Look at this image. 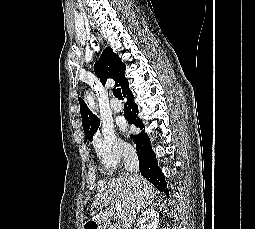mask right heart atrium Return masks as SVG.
I'll use <instances>...</instances> for the list:
<instances>
[{
  "instance_id": "d8ad5b80",
  "label": "right heart atrium",
  "mask_w": 255,
  "mask_h": 229,
  "mask_svg": "<svg viewBox=\"0 0 255 229\" xmlns=\"http://www.w3.org/2000/svg\"><path fill=\"white\" fill-rule=\"evenodd\" d=\"M93 146L101 165L105 169L116 167L123 158L133 152L130 144L120 139L107 126L102 127L93 138Z\"/></svg>"
}]
</instances>
